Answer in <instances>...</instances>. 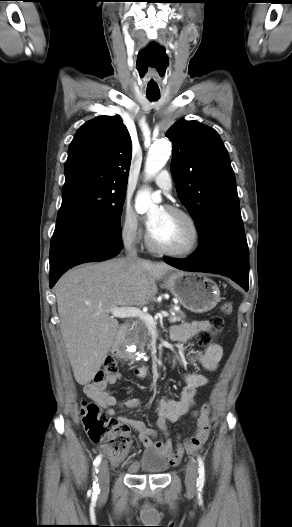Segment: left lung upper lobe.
Masks as SVG:
<instances>
[{"mask_svg":"<svg viewBox=\"0 0 292 527\" xmlns=\"http://www.w3.org/2000/svg\"><path fill=\"white\" fill-rule=\"evenodd\" d=\"M174 143L171 171L178 197L191 213L199 246L245 236L228 152L211 127L181 120L166 133Z\"/></svg>","mask_w":292,"mask_h":527,"instance_id":"1","label":"left lung upper lobe"}]
</instances>
